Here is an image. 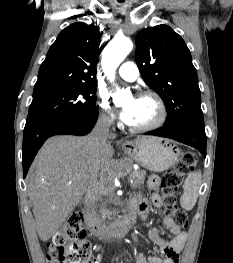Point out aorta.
<instances>
[{"label": "aorta", "mask_w": 233, "mask_h": 263, "mask_svg": "<svg viewBox=\"0 0 233 263\" xmlns=\"http://www.w3.org/2000/svg\"><path fill=\"white\" fill-rule=\"evenodd\" d=\"M133 44L127 37L116 36L105 47L102 57L103 71L108 76V79L114 81V75L116 68L125 59V57L131 52ZM129 91L126 89H117L116 99L123 100L128 96Z\"/></svg>", "instance_id": "1"}]
</instances>
